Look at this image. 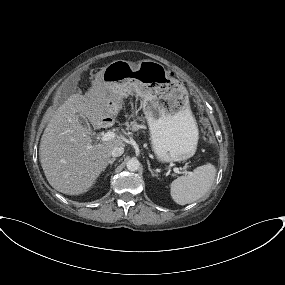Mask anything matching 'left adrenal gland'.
Wrapping results in <instances>:
<instances>
[{
	"label": "left adrenal gland",
	"instance_id": "a2214340",
	"mask_svg": "<svg viewBox=\"0 0 285 285\" xmlns=\"http://www.w3.org/2000/svg\"><path fill=\"white\" fill-rule=\"evenodd\" d=\"M147 165H148V170L150 171L151 175H152L153 177H158V175L155 174V173L153 172V170L151 169L149 160H147Z\"/></svg>",
	"mask_w": 285,
	"mask_h": 285
}]
</instances>
